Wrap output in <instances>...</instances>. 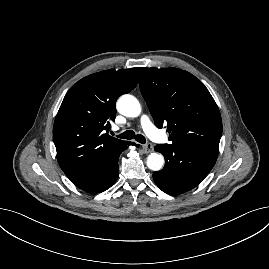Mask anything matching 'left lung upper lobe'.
<instances>
[{
	"mask_svg": "<svg viewBox=\"0 0 269 269\" xmlns=\"http://www.w3.org/2000/svg\"><path fill=\"white\" fill-rule=\"evenodd\" d=\"M139 86L156 126L167 123L171 145L218 151L221 115L199 79L177 68H142Z\"/></svg>",
	"mask_w": 269,
	"mask_h": 269,
	"instance_id": "5c2ea615",
	"label": "left lung upper lobe"
}]
</instances>
